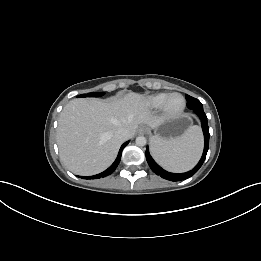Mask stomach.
Returning a JSON list of instances; mask_svg holds the SVG:
<instances>
[{
	"label": "stomach",
	"instance_id": "1",
	"mask_svg": "<svg viewBox=\"0 0 261 261\" xmlns=\"http://www.w3.org/2000/svg\"><path fill=\"white\" fill-rule=\"evenodd\" d=\"M191 125V118L184 114L174 118L165 119L159 126L154 128V136L152 138L173 139L182 135Z\"/></svg>",
	"mask_w": 261,
	"mask_h": 261
}]
</instances>
